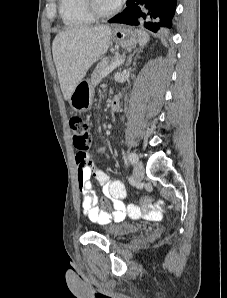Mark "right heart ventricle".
Returning <instances> with one entry per match:
<instances>
[{"label": "right heart ventricle", "mask_w": 227, "mask_h": 298, "mask_svg": "<svg viewBox=\"0 0 227 298\" xmlns=\"http://www.w3.org/2000/svg\"><path fill=\"white\" fill-rule=\"evenodd\" d=\"M59 13L67 27H84L94 22L85 7V0H59Z\"/></svg>", "instance_id": "right-heart-ventricle-1"}]
</instances>
